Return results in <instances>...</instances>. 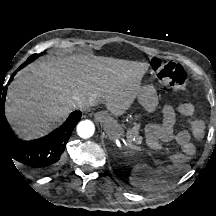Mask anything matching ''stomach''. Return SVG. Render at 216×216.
<instances>
[{
    "mask_svg": "<svg viewBox=\"0 0 216 216\" xmlns=\"http://www.w3.org/2000/svg\"><path fill=\"white\" fill-rule=\"evenodd\" d=\"M137 99L139 104L149 113H153L158 106L157 93L155 88L151 85L140 87ZM105 130L111 140L121 139L124 137V131L119 127L114 128L105 123Z\"/></svg>",
    "mask_w": 216,
    "mask_h": 216,
    "instance_id": "obj_1",
    "label": "stomach"
}]
</instances>
